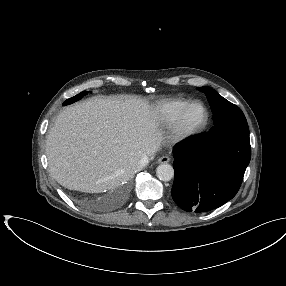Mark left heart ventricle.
<instances>
[{
  "label": "left heart ventricle",
  "mask_w": 286,
  "mask_h": 286,
  "mask_svg": "<svg viewBox=\"0 0 286 286\" xmlns=\"http://www.w3.org/2000/svg\"><path fill=\"white\" fill-rule=\"evenodd\" d=\"M204 119V110L201 106H195L189 113L187 124L189 126H197L201 124Z\"/></svg>",
  "instance_id": "obj_1"
}]
</instances>
